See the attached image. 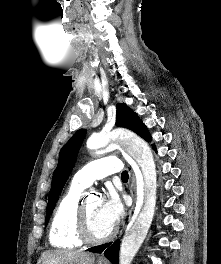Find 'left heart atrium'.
<instances>
[{
    "mask_svg": "<svg viewBox=\"0 0 221 264\" xmlns=\"http://www.w3.org/2000/svg\"><path fill=\"white\" fill-rule=\"evenodd\" d=\"M101 213L106 221L113 227L123 214V205L119 197L111 194L101 202Z\"/></svg>",
    "mask_w": 221,
    "mask_h": 264,
    "instance_id": "39dd6f15",
    "label": "left heart atrium"
}]
</instances>
